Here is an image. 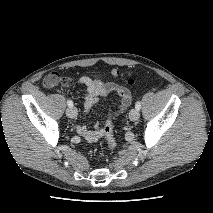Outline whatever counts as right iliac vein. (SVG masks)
<instances>
[{
    "instance_id": "63e3f726",
    "label": "right iliac vein",
    "mask_w": 213,
    "mask_h": 213,
    "mask_svg": "<svg viewBox=\"0 0 213 213\" xmlns=\"http://www.w3.org/2000/svg\"><path fill=\"white\" fill-rule=\"evenodd\" d=\"M77 109L74 108V107H69L67 110H66V115L69 117V118H75L77 117Z\"/></svg>"
}]
</instances>
